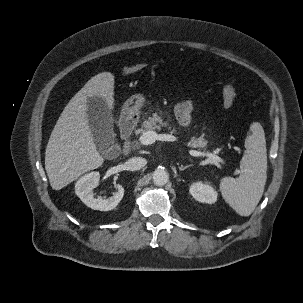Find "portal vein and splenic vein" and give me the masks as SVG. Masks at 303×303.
Wrapping results in <instances>:
<instances>
[{
	"label": "portal vein and splenic vein",
	"mask_w": 303,
	"mask_h": 303,
	"mask_svg": "<svg viewBox=\"0 0 303 303\" xmlns=\"http://www.w3.org/2000/svg\"><path fill=\"white\" fill-rule=\"evenodd\" d=\"M156 140L160 141H170L174 142L177 140V137L170 135V134H157L154 131H147L144 132L140 137L139 141L142 145H150L153 144ZM188 153L191 156L199 157V156H207L210 160L214 162H219L221 164H226V162L219 156L209 153V152H200L196 150H189Z\"/></svg>",
	"instance_id": "portal-vein-and-splenic-vein-1"
}]
</instances>
